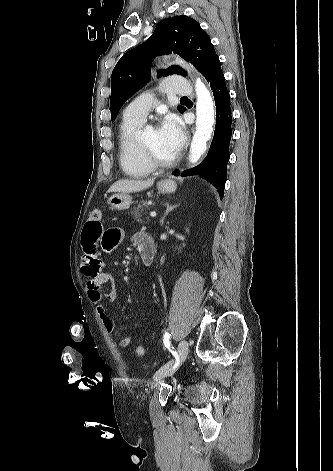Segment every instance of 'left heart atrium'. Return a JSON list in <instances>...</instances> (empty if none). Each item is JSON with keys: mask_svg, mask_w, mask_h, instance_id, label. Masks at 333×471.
<instances>
[{"mask_svg": "<svg viewBox=\"0 0 333 471\" xmlns=\"http://www.w3.org/2000/svg\"><path fill=\"white\" fill-rule=\"evenodd\" d=\"M158 130L164 146L175 156L181 150L185 141V134L180 121L173 115H167Z\"/></svg>", "mask_w": 333, "mask_h": 471, "instance_id": "obj_1", "label": "left heart atrium"}]
</instances>
